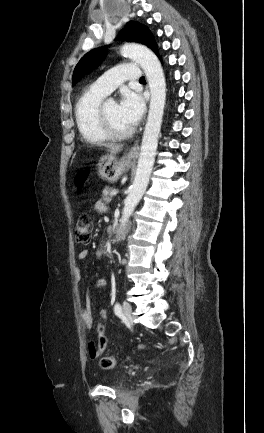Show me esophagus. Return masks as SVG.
Here are the masks:
<instances>
[{
	"label": "esophagus",
	"instance_id": "obj_1",
	"mask_svg": "<svg viewBox=\"0 0 264 433\" xmlns=\"http://www.w3.org/2000/svg\"><path fill=\"white\" fill-rule=\"evenodd\" d=\"M138 154H139V145L136 143L130 149V151L128 153V158L129 159H136L138 157Z\"/></svg>",
	"mask_w": 264,
	"mask_h": 433
}]
</instances>
